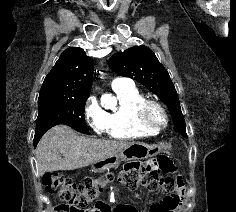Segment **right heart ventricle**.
Segmentation results:
<instances>
[{"mask_svg": "<svg viewBox=\"0 0 236 212\" xmlns=\"http://www.w3.org/2000/svg\"><path fill=\"white\" fill-rule=\"evenodd\" d=\"M118 105L105 112V133L113 139L129 140L155 135L152 129L143 126L138 120V110L147 97L133 84L112 87Z\"/></svg>", "mask_w": 236, "mask_h": 212, "instance_id": "1", "label": "right heart ventricle"}]
</instances>
